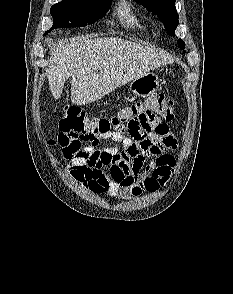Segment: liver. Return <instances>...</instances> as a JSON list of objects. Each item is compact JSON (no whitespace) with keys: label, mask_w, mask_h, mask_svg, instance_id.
<instances>
[{"label":"liver","mask_w":233,"mask_h":294,"mask_svg":"<svg viewBox=\"0 0 233 294\" xmlns=\"http://www.w3.org/2000/svg\"><path fill=\"white\" fill-rule=\"evenodd\" d=\"M48 83L54 99L71 77V101L95 102L116 88L172 59L157 50L120 38H83L59 44L50 53Z\"/></svg>","instance_id":"1"}]
</instances>
